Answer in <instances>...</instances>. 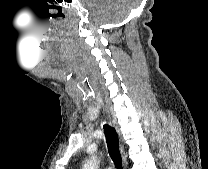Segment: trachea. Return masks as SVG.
I'll use <instances>...</instances> for the list:
<instances>
[{"mask_svg":"<svg viewBox=\"0 0 208 169\" xmlns=\"http://www.w3.org/2000/svg\"><path fill=\"white\" fill-rule=\"evenodd\" d=\"M104 133L106 136V142L108 147V152L113 160L116 169H123L122 167V157L119 149V140L115 129L108 124L103 126Z\"/></svg>","mask_w":208,"mask_h":169,"instance_id":"1","label":"trachea"}]
</instances>
